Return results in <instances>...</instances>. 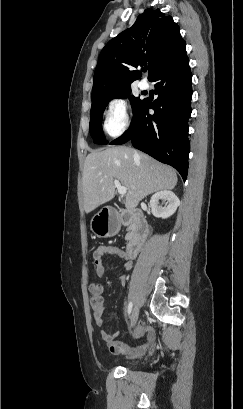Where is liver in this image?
Returning <instances> with one entry per match:
<instances>
[{
  "label": "liver",
  "instance_id": "obj_1",
  "mask_svg": "<svg viewBox=\"0 0 243 409\" xmlns=\"http://www.w3.org/2000/svg\"><path fill=\"white\" fill-rule=\"evenodd\" d=\"M115 179L127 189L128 210L135 209L149 194L173 189L178 180L172 167L131 147L93 151L86 157L83 169V202L87 214L114 198Z\"/></svg>",
  "mask_w": 243,
  "mask_h": 409
}]
</instances>
